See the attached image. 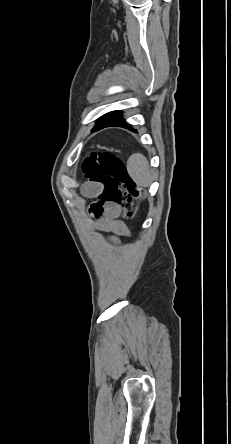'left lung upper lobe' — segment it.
<instances>
[{
  "label": "left lung upper lobe",
  "mask_w": 231,
  "mask_h": 444,
  "mask_svg": "<svg viewBox=\"0 0 231 444\" xmlns=\"http://www.w3.org/2000/svg\"><path fill=\"white\" fill-rule=\"evenodd\" d=\"M117 114H118V111H114V112L107 113V114L103 115L102 117H100V118L98 119L97 123L100 122V121H102V120H105V119L111 118V117H113V116H115V115H117Z\"/></svg>",
  "instance_id": "obj_1"
}]
</instances>
